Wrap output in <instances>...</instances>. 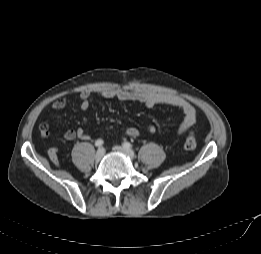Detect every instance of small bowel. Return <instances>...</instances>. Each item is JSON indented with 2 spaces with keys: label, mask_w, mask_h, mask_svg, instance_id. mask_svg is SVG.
Returning a JSON list of instances; mask_svg holds the SVG:
<instances>
[{
  "label": "small bowel",
  "mask_w": 261,
  "mask_h": 254,
  "mask_svg": "<svg viewBox=\"0 0 261 254\" xmlns=\"http://www.w3.org/2000/svg\"><path fill=\"white\" fill-rule=\"evenodd\" d=\"M101 96L105 99H115L119 101H129L138 102L146 105L149 108H153L158 105H166L175 109L182 111L184 119L179 127V134L187 132L197 120V113L192 104H190L184 98L165 92L157 91H127L121 89H109L101 93ZM80 109L82 112H86L92 101L93 95L90 92L83 91L80 93ZM67 100L65 98L57 99L51 104L53 110H61L67 106ZM40 133L43 137L50 136L49 125L45 122L39 125ZM147 131L149 133H154L156 127L154 125H148ZM124 135L127 137H137L139 136V130L134 127L127 128L124 131ZM63 137L66 140L81 139L89 140V134L82 128L69 129L64 134ZM57 149L51 148L49 150V156L53 161H57Z\"/></svg>",
  "instance_id": "1"
}]
</instances>
